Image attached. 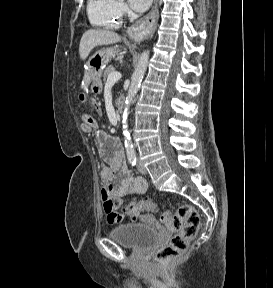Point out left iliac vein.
Masks as SVG:
<instances>
[{"label":"left iliac vein","instance_id":"obj_1","mask_svg":"<svg viewBox=\"0 0 273 288\" xmlns=\"http://www.w3.org/2000/svg\"><path fill=\"white\" fill-rule=\"evenodd\" d=\"M137 168L141 174H147V169L144 167V165L140 159H138V161H137Z\"/></svg>","mask_w":273,"mask_h":288}]
</instances>
